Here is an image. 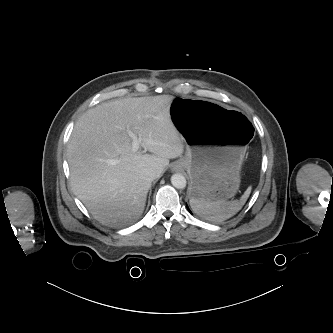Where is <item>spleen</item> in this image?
I'll use <instances>...</instances> for the list:
<instances>
[{"label":"spleen","instance_id":"3e777b00","mask_svg":"<svg viewBox=\"0 0 333 333\" xmlns=\"http://www.w3.org/2000/svg\"><path fill=\"white\" fill-rule=\"evenodd\" d=\"M250 193L251 187L245 191L240 200L206 201L191 198L189 203L192 210L200 217L213 222H222L235 215L242 208Z\"/></svg>","mask_w":333,"mask_h":333}]
</instances>
